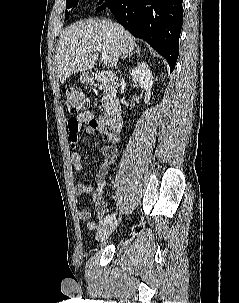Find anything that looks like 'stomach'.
Returning a JSON list of instances; mask_svg holds the SVG:
<instances>
[{"label":"stomach","mask_w":239,"mask_h":303,"mask_svg":"<svg viewBox=\"0 0 239 303\" xmlns=\"http://www.w3.org/2000/svg\"><path fill=\"white\" fill-rule=\"evenodd\" d=\"M80 81L82 83H85V84H89L90 83V78L88 76L87 73H83L81 76H80Z\"/></svg>","instance_id":"stomach-1"}]
</instances>
